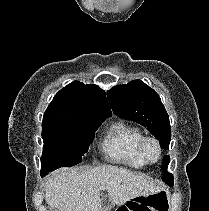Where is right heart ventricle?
<instances>
[{
    "mask_svg": "<svg viewBox=\"0 0 209 211\" xmlns=\"http://www.w3.org/2000/svg\"><path fill=\"white\" fill-rule=\"evenodd\" d=\"M143 137L139 127L116 121L108 127L101 147L108 159L132 168H141L145 165L139 153Z\"/></svg>",
    "mask_w": 209,
    "mask_h": 211,
    "instance_id": "obj_1",
    "label": "right heart ventricle"
}]
</instances>
